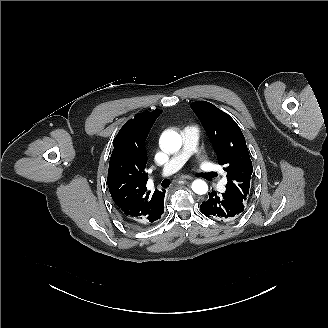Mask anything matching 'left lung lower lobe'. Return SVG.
I'll use <instances>...</instances> for the list:
<instances>
[{
  "mask_svg": "<svg viewBox=\"0 0 328 328\" xmlns=\"http://www.w3.org/2000/svg\"><path fill=\"white\" fill-rule=\"evenodd\" d=\"M209 199L200 205L201 212L217 220H231L244 211V203L229 197L225 193L218 196L215 191L209 192Z\"/></svg>",
  "mask_w": 328,
  "mask_h": 328,
  "instance_id": "obj_1",
  "label": "left lung lower lobe"
}]
</instances>
